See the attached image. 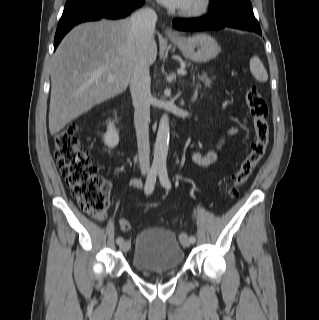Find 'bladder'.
<instances>
[{
	"instance_id": "obj_1",
	"label": "bladder",
	"mask_w": 319,
	"mask_h": 320,
	"mask_svg": "<svg viewBox=\"0 0 319 320\" xmlns=\"http://www.w3.org/2000/svg\"><path fill=\"white\" fill-rule=\"evenodd\" d=\"M184 260V248L171 231L149 228L137 234L131 254V267L134 270H174L181 267Z\"/></svg>"
}]
</instances>
